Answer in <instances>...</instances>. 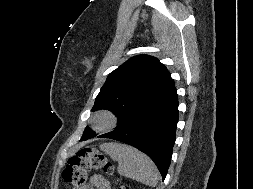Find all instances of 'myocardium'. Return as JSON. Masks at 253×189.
I'll use <instances>...</instances> for the list:
<instances>
[{"instance_id": "myocardium-1", "label": "myocardium", "mask_w": 253, "mask_h": 189, "mask_svg": "<svg viewBox=\"0 0 253 189\" xmlns=\"http://www.w3.org/2000/svg\"><path fill=\"white\" fill-rule=\"evenodd\" d=\"M116 116L107 110L100 111L93 119V125L99 131H108L116 125Z\"/></svg>"}]
</instances>
